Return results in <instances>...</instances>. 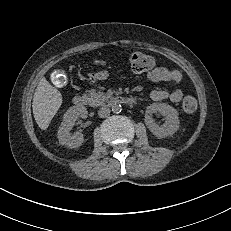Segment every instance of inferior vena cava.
Instances as JSON below:
<instances>
[{
	"label": "inferior vena cava",
	"instance_id": "obj_1",
	"mask_svg": "<svg viewBox=\"0 0 231 231\" xmlns=\"http://www.w3.org/2000/svg\"><path fill=\"white\" fill-rule=\"evenodd\" d=\"M110 114V109L108 107H102L98 111V115L100 118H105Z\"/></svg>",
	"mask_w": 231,
	"mask_h": 231
}]
</instances>
